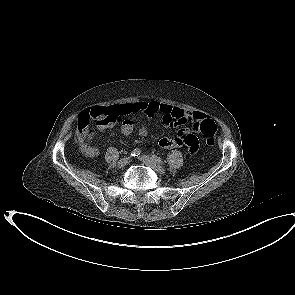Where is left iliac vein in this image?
Listing matches in <instances>:
<instances>
[{"mask_svg":"<svg viewBox=\"0 0 295 295\" xmlns=\"http://www.w3.org/2000/svg\"><path fill=\"white\" fill-rule=\"evenodd\" d=\"M140 160L146 165V166H149L151 168H153L154 170H156L157 172L159 173H164L165 172V169L163 168L162 165L158 164L157 162H155L153 160V158H151L150 156L148 155H142L140 157Z\"/></svg>","mask_w":295,"mask_h":295,"instance_id":"left-iliac-vein-1","label":"left iliac vein"}]
</instances>
